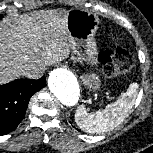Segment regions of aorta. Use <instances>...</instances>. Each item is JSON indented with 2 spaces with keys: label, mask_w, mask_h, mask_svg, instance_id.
<instances>
[{
  "label": "aorta",
  "mask_w": 153,
  "mask_h": 153,
  "mask_svg": "<svg viewBox=\"0 0 153 153\" xmlns=\"http://www.w3.org/2000/svg\"><path fill=\"white\" fill-rule=\"evenodd\" d=\"M48 87L57 100L66 107L74 106L79 100V83L68 71H58L50 75Z\"/></svg>",
  "instance_id": "762f6f07"
}]
</instances>
